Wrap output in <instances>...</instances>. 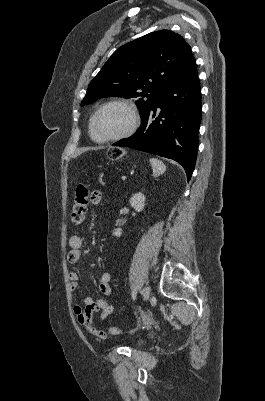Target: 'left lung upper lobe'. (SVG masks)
Segmentation results:
<instances>
[{
	"instance_id": "1",
	"label": "left lung upper lobe",
	"mask_w": 265,
	"mask_h": 401,
	"mask_svg": "<svg viewBox=\"0 0 265 401\" xmlns=\"http://www.w3.org/2000/svg\"><path fill=\"white\" fill-rule=\"evenodd\" d=\"M190 46L169 30L149 33L118 48L90 82L81 105L98 98H134L144 115L187 65Z\"/></svg>"
}]
</instances>
